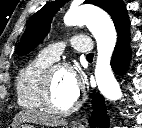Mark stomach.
<instances>
[{"label": "stomach", "mask_w": 142, "mask_h": 128, "mask_svg": "<svg viewBox=\"0 0 142 128\" xmlns=\"http://www.w3.org/2000/svg\"><path fill=\"white\" fill-rule=\"evenodd\" d=\"M16 128H36V127L31 124H20Z\"/></svg>", "instance_id": "stomach-1"}]
</instances>
